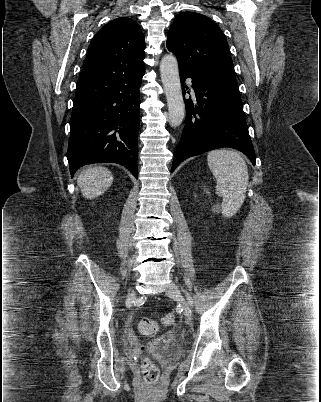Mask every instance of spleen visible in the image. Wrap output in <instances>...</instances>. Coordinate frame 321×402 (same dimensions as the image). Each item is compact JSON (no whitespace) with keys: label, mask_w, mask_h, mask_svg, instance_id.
Wrapping results in <instances>:
<instances>
[{"label":"spleen","mask_w":321,"mask_h":402,"mask_svg":"<svg viewBox=\"0 0 321 402\" xmlns=\"http://www.w3.org/2000/svg\"><path fill=\"white\" fill-rule=\"evenodd\" d=\"M208 166L216 178V193L222 197L224 216L235 214L244 202L248 186L245 160L234 150L218 149L207 155Z\"/></svg>","instance_id":"1"}]
</instances>
